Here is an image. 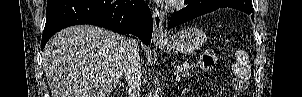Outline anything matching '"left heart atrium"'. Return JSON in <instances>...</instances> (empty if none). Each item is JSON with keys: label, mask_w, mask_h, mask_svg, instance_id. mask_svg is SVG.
Masks as SVG:
<instances>
[{"label": "left heart atrium", "mask_w": 302, "mask_h": 97, "mask_svg": "<svg viewBox=\"0 0 302 97\" xmlns=\"http://www.w3.org/2000/svg\"><path fill=\"white\" fill-rule=\"evenodd\" d=\"M180 0H166L165 2L168 3H178Z\"/></svg>", "instance_id": "39dd6f15"}]
</instances>
